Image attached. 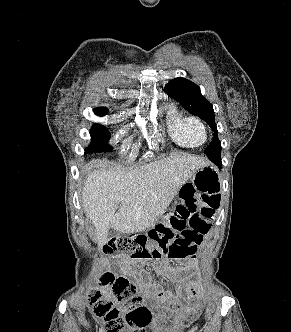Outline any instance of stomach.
Masks as SVG:
<instances>
[{"instance_id": "obj_1", "label": "stomach", "mask_w": 291, "mask_h": 332, "mask_svg": "<svg viewBox=\"0 0 291 332\" xmlns=\"http://www.w3.org/2000/svg\"><path fill=\"white\" fill-rule=\"evenodd\" d=\"M190 183L197 192L206 195H216L221 187L219 170L209 165L200 168L190 178ZM161 219L162 217H159L151 226H154L156 222L161 221Z\"/></svg>"}]
</instances>
